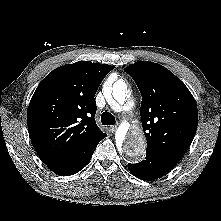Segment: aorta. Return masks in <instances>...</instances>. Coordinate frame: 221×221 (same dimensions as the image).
Instances as JSON below:
<instances>
[{
	"mask_svg": "<svg viewBox=\"0 0 221 221\" xmlns=\"http://www.w3.org/2000/svg\"><path fill=\"white\" fill-rule=\"evenodd\" d=\"M104 95L108 101L114 99L119 104H123L128 95L127 85L122 80H117L112 86H105ZM120 133L116 141L122 152L132 161L140 160L146 149L143 130L140 127H135L130 131L121 128Z\"/></svg>",
	"mask_w": 221,
	"mask_h": 221,
	"instance_id": "762f6f07",
	"label": "aorta"
}]
</instances>
